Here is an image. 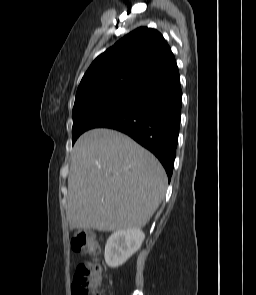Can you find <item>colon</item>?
<instances>
[{"label":"colon","mask_w":256,"mask_h":295,"mask_svg":"<svg viewBox=\"0 0 256 295\" xmlns=\"http://www.w3.org/2000/svg\"><path fill=\"white\" fill-rule=\"evenodd\" d=\"M71 248L81 255L96 258L100 253V244L90 232L76 231L71 238ZM101 266L96 260L79 264L72 283V295H100Z\"/></svg>","instance_id":"colon-1"}]
</instances>
